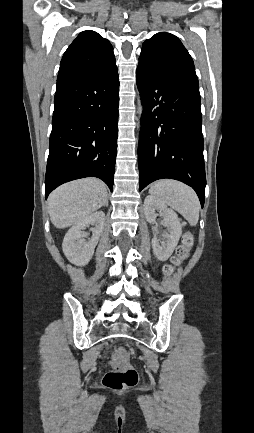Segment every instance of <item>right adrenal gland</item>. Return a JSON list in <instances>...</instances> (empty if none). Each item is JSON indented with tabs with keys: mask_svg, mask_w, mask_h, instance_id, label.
Returning <instances> with one entry per match:
<instances>
[{
	"mask_svg": "<svg viewBox=\"0 0 254 433\" xmlns=\"http://www.w3.org/2000/svg\"><path fill=\"white\" fill-rule=\"evenodd\" d=\"M104 206H106V207L108 206V199L106 200Z\"/></svg>",
	"mask_w": 254,
	"mask_h": 433,
	"instance_id": "right-adrenal-gland-1",
	"label": "right adrenal gland"
}]
</instances>
